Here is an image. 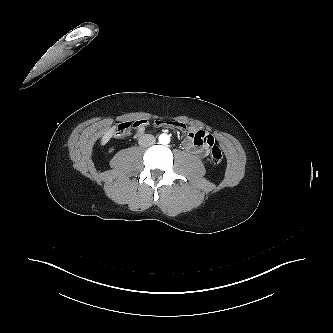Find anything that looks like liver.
I'll return each instance as SVG.
<instances>
[{
  "label": "liver",
  "instance_id": "6515ba94",
  "mask_svg": "<svg viewBox=\"0 0 333 333\" xmlns=\"http://www.w3.org/2000/svg\"><path fill=\"white\" fill-rule=\"evenodd\" d=\"M114 131H115V127H112L105 133V135L103 136V139H102L103 144L106 143L112 137Z\"/></svg>",
  "mask_w": 333,
  "mask_h": 333
}]
</instances>
